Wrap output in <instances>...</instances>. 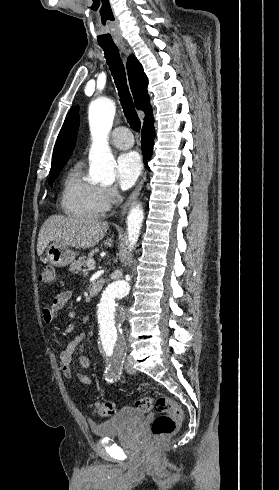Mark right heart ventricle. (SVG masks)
<instances>
[{
	"mask_svg": "<svg viewBox=\"0 0 279 490\" xmlns=\"http://www.w3.org/2000/svg\"><path fill=\"white\" fill-rule=\"evenodd\" d=\"M97 187L80 176L77 166L71 167L64 179L62 206L65 213L78 219H94L98 216L94 197Z\"/></svg>",
	"mask_w": 279,
	"mask_h": 490,
	"instance_id": "obj_1",
	"label": "right heart ventricle"
}]
</instances>
